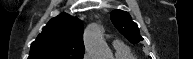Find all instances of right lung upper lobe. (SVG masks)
Returning a JSON list of instances; mask_svg holds the SVG:
<instances>
[{"instance_id": "right-lung-upper-lobe-1", "label": "right lung upper lobe", "mask_w": 193, "mask_h": 59, "mask_svg": "<svg viewBox=\"0 0 193 59\" xmlns=\"http://www.w3.org/2000/svg\"><path fill=\"white\" fill-rule=\"evenodd\" d=\"M83 23L62 13L52 18L31 44L28 59H83Z\"/></svg>"}]
</instances>
